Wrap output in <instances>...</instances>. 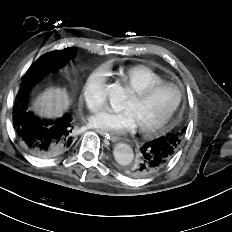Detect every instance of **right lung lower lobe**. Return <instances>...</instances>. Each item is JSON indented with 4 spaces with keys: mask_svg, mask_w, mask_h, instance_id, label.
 Segmentation results:
<instances>
[{
    "mask_svg": "<svg viewBox=\"0 0 232 232\" xmlns=\"http://www.w3.org/2000/svg\"><path fill=\"white\" fill-rule=\"evenodd\" d=\"M34 86V85H33ZM33 86L20 87L13 107V124L25 150L40 158L59 156L73 142V122L69 113L55 120L41 119L27 111Z\"/></svg>",
    "mask_w": 232,
    "mask_h": 232,
    "instance_id": "obj_1",
    "label": "right lung lower lobe"
}]
</instances>
